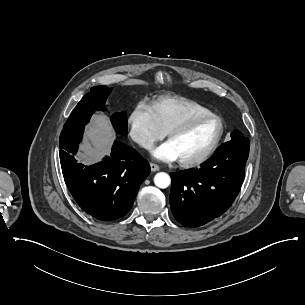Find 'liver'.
Segmentation results:
<instances>
[{"mask_svg":"<svg viewBox=\"0 0 305 305\" xmlns=\"http://www.w3.org/2000/svg\"><path fill=\"white\" fill-rule=\"evenodd\" d=\"M115 133L109 119L103 114H95L86 127L85 141L80 146L82 152L77 154L78 160L85 165L99 161L110 152Z\"/></svg>","mask_w":305,"mask_h":305,"instance_id":"liver-1","label":"liver"}]
</instances>
